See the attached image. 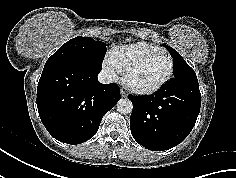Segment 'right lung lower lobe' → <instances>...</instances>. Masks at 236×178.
I'll list each match as a JSON object with an SVG mask.
<instances>
[{"mask_svg": "<svg viewBox=\"0 0 236 178\" xmlns=\"http://www.w3.org/2000/svg\"><path fill=\"white\" fill-rule=\"evenodd\" d=\"M99 65L89 59L47 61L37 87V107L52 137L80 144L98 131L105 113L120 100V88L101 84Z\"/></svg>", "mask_w": 236, "mask_h": 178, "instance_id": "98d812e1", "label": "right lung lower lobe"}]
</instances>
